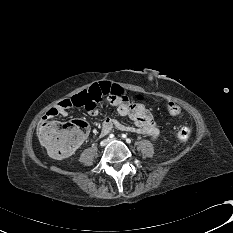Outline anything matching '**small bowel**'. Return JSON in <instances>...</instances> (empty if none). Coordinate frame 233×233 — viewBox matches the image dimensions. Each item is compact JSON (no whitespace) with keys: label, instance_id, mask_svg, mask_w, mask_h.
<instances>
[{"label":"small bowel","instance_id":"1","mask_svg":"<svg viewBox=\"0 0 233 233\" xmlns=\"http://www.w3.org/2000/svg\"><path fill=\"white\" fill-rule=\"evenodd\" d=\"M113 93L107 94L100 98L99 102L92 108L94 113H98L102 107H106L109 103L117 106L118 114L121 117L130 118L134 125H127L113 118H106L102 123V132L109 133L113 129H118L127 132H136L150 139L155 140L159 136V129L156 127L151 112L141 103L132 101L123 91L118 100ZM73 107L70 99H65L59 102L55 107L50 108L42 118L41 128L47 122L56 116H67L68 109ZM40 128V129H41Z\"/></svg>","mask_w":233,"mask_h":233}]
</instances>
